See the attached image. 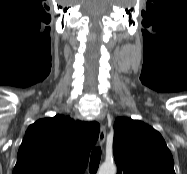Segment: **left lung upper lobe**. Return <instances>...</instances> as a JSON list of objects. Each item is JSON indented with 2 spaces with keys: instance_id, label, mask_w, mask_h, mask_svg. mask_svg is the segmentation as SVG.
I'll list each match as a JSON object with an SVG mask.
<instances>
[{
  "instance_id": "5c2ea615",
  "label": "left lung upper lobe",
  "mask_w": 187,
  "mask_h": 174,
  "mask_svg": "<svg viewBox=\"0 0 187 174\" xmlns=\"http://www.w3.org/2000/svg\"><path fill=\"white\" fill-rule=\"evenodd\" d=\"M113 153L117 174H175L173 157L161 134L141 121L115 120Z\"/></svg>"
}]
</instances>
